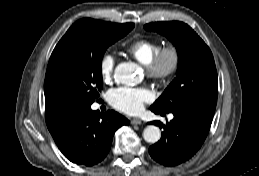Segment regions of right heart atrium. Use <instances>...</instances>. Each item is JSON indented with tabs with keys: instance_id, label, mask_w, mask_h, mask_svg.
<instances>
[{
	"instance_id": "d8ad5b80",
	"label": "right heart atrium",
	"mask_w": 259,
	"mask_h": 176,
	"mask_svg": "<svg viewBox=\"0 0 259 176\" xmlns=\"http://www.w3.org/2000/svg\"><path fill=\"white\" fill-rule=\"evenodd\" d=\"M116 65V58L113 54L106 52L100 59L99 62V73L102 80L106 83L110 82Z\"/></svg>"
}]
</instances>
